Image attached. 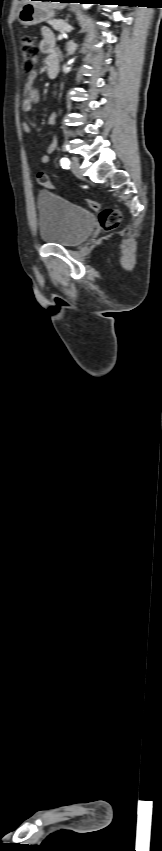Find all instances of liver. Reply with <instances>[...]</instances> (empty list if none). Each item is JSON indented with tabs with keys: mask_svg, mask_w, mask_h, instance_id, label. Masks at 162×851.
Here are the masks:
<instances>
[{
	"mask_svg": "<svg viewBox=\"0 0 162 851\" xmlns=\"http://www.w3.org/2000/svg\"><path fill=\"white\" fill-rule=\"evenodd\" d=\"M29 2H31V0H24V4ZM34 3L40 7L49 9H64L67 6V3L65 2L36 1Z\"/></svg>",
	"mask_w": 162,
	"mask_h": 851,
	"instance_id": "obj_1",
	"label": "liver"
}]
</instances>
